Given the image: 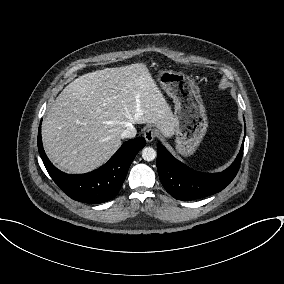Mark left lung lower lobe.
Listing matches in <instances>:
<instances>
[{
	"instance_id": "0a47b994",
	"label": "left lung lower lobe",
	"mask_w": 284,
	"mask_h": 284,
	"mask_svg": "<svg viewBox=\"0 0 284 284\" xmlns=\"http://www.w3.org/2000/svg\"><path fill=\"white\" fill-rule=\"evenodd\" d=\"M244 141L235 161L220 173L197 172L176 160L159 142L157 170L166 191L183 201L200 199L223 190L236 176L243 156Z\"/></svg>"
}]
</instances>
